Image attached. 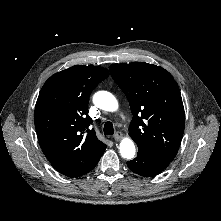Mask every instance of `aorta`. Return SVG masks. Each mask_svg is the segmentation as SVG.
Masks as SVG:
<instances>
[{
  "instance_id": "aorta-1",
  "label": "aorta",
  "mask_w": 221,
  "mask_h": 221,
  "mask_svg": "<svg viewBox=\"0 0 221 221\" xmlns=\"http://www.w3.org/2000/svg\"><path fill=\"white\" fill-rule=\"evenodd\" d=\"M93 103L100 109L114 112L118 109V101L115 96L107 91H98L93 96ZM120 154L125 159H132L135 156L136 149L131 138L126 137L120 143Z\"/></svg>"
}]
</instances>
